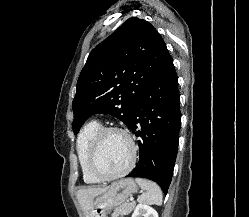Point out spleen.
I'll use <instances>...</instances> for the list:
<instances>
[{"label":"spleen","mask_w":249,"mask_h":217,"mask_svg":"<svg viewBox=\"0 0 249 217\" xmlns=\"http://www.w3.org/2000/svg\"><path fill=\"white\" fill-rule=\"evenodd\" d=\"M135 181L139 184L142 190H144V193L138 198L140 203L162 204V191L155 182L143 178H136Z\"/></svg>","instance_id":"3e777b00"}]
</instances>
